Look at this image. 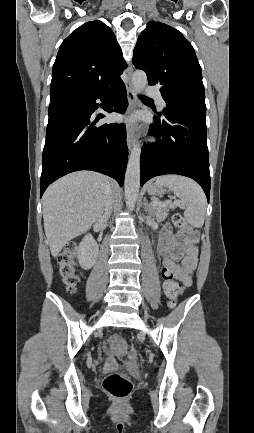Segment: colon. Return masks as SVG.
<instances>
[{
	"label": "colon",
	"instance_id": "1",
	"mask_svg": "<svg viewBox=\"0 0 254 433\" xmlns=\"http://www.w3.org/2000/svg\"><path fill=\"white\" fill-rule=\"evenodd\" d=\"M172 222L182 236H195V230L187 225L185 219L180 214H175L172 218ZM75 257L76 249L74 246L68 247L58 256L59 274L66 286V290L70 293L74 292L80 283V278L76 270ZM163 279L166 283L165 295L171 303H174L181 294V288L175 281L170 270L166 269L163 271ZM111 342L116 347L124 346V340L120 336L113 337ZM103 389L112 399L121 401L125 400L131 394L132 382L123 374L112 373L104 378Z\"/></svg>",
	"mask_w": 254,
	"mask_h": 433
}]
</instances>
